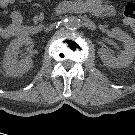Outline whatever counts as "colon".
<instances>
[{
    "label": "colon",
    "mask_w": 135,
    "mask_h": 135,
    "mask_svg": "<svg viewBox=\"0 0 135 135\" xmlns=\"http://www.w3.org/2000/svg\"><path fill=\"white\" fill-rule=\"evenodd\" d=\"M124 23L133 31L135 34V3H128L123 11Z\"/></svg>",
    "instance_id": "obj_1"
}]
</instances>
